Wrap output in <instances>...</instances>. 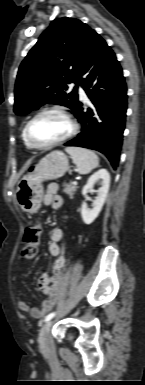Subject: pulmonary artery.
<instances>
[{
    "label": "pulmonary artery",
    "mask_w": 145,
    "mask_h": 385,
    "mask_svg": "<svg viewBox=\"0 0 145 385\" xmlns=\"http://www.w3.org/2000/svg\"><path fill=\"white\" fill-rule=\"evenodd\" d=\"M72 86H74V84H73ZM78 91H79V95H80L81 99L86 100V99H87V96H86L84 90H83L81 87H79V90H78Z\"/></svg>",
    "instance_id": "e3ab8cb5"
}]
</instances>
